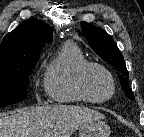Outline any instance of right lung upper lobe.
Instances as JSON below:
<instances>
[{"label":"right lung upper lobe","instance_id":"obj_1","mask_svg":"<svg viewBox=\"0 0 144 137\" xmlns=\"http://www.w3.org/2000/svg\"><path fill=\"white\" fill-rule=\"evenodd\" d=\"M53 39V28L39 19H28L7 34L0 45V65L38 59L46 43Z\"/></svg>","mask_w":144,"mask_h":137}]
</instances>
